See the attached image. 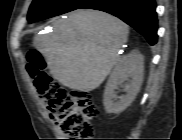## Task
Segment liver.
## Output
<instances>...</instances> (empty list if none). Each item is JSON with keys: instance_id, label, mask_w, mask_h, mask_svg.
Wrapping results in <instances>:
<instances>
[{"instance_id": "1", "label": "liver", "mask_w": 182, "mask_h": 140, "mask_svg": "<svg viewBox=\"0 0 182 140\" xmlns=\"http://www.w3.org/2000/svg\"><path fill=\"white\" fill-rule=\"evenodd\" d=\"M129 28L97 10H75L54 24L49 35L37 34L33 46L62 85L77 91L98 88L120 61L118 52Z\"/></svg>"}]
</instances>
